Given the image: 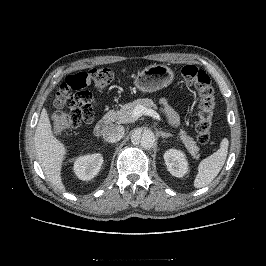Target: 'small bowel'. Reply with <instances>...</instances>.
Returning a JSON list of instances; mask_svg holds the SVG:
<instances>
[{
	"instance_id": "small-bowel-1",
	"label": "small bowel",
	"mask_w": 266,
	"mask_h": 266,
	"mask_svg": "<svg viewBox=\"0 0 266 266\" xmlns=\"http://www.w3.org/2000/svg\"><path fill=\"white\" fill-rule=\"evenodd\" d=\"M161 103L169 123L172 125H176L178 123V118L175 112L171 109L165 99H162Z\"/></svg>"
}]
</instances>
